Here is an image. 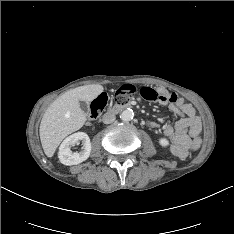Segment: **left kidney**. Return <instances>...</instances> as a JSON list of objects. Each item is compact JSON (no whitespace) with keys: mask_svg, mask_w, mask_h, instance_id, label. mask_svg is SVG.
Segmentation results:
<instances>
[{"mask_svg":"<svg viewBox=\"0 0 234 234\" xmlns=\"http://www.w3.org/2000/svg\"><path fill=\"white\" fill-rule=\"evenodd\" d=\"M159 144L163 147H166L169 145V141L166 138H160L159 139Z\"/></svg>","mask_w":234,"mask_h":234,"instance_id":"1","label":"left kidney"}]
</instances>
